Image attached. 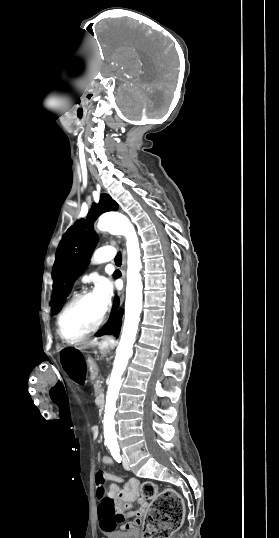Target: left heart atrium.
Here are the masks:
<instances>
[{
	"label": "left heart atrium",
	"mask_w": 279,
	"mask_h": 538,
	"mask_svg": "<svg viewBox=\"0 0 279 538\" xmlns=\"http://www.w3.org/2000/svg\"><path fill=\"white\" fill-rule=\"evenodd\" d=\"M94 293L98 297L103 309L108 308L113 295L112 281L106 277H99L95 283Z\"/></svg>",
	"instance_id": "39dd6f15"
}]
</instances>
